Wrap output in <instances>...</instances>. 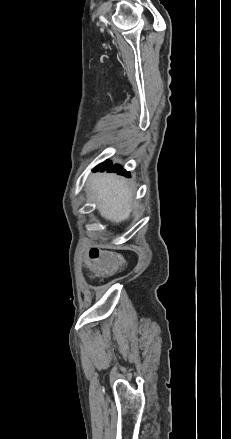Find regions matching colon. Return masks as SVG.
<instances>
[{"label":"colon","mask_w":231,"mask_h":439,"mask_svg":"<svg viewBox=\"0 0 231 439\" xmlns=\"http://www.w3.org/2000/svg\"><path fill=\"white\" fill-rule=\"evenodd\" d=\"M89 251H86L89 255L87 259H83L82 266L90 268L94 273L110 274L119 270L123 265L120 258L98 250L95 245L90 246Z\"/></svg>","instance_id":"1"}]
</instances>
